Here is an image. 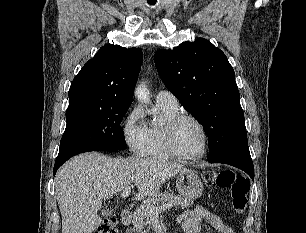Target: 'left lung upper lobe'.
Here are the masks:
<instances>
[{
  "label": "left lung upper lobe",
  "instance_id": "left-lung-upper-lobe-1",
  "mask_svg": "<svg viewBox=\"0 0 306 233\" xmlns=\"http://www.w3.org/2000/svg\"><path fill=\"white\" fill-rule=\"evenodd\" d=\"M154 61L168 90L203 125L208 158L249 150L235 72L219 48L198 38L157 51Z\"/></svg>",
  "mask_w": 306,
  "mask_h": 233
}]
</instances>
